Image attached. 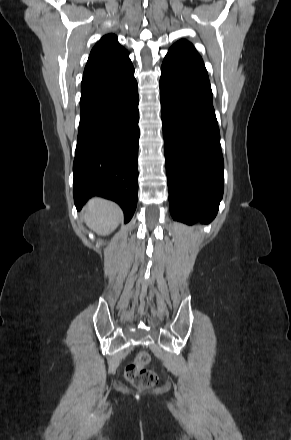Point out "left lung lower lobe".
<instances>
[{"mask_svg":"<svg viewBox=\"0 0 291 440\" xmlns=\"http://www.w3.org/2000/svg\"><path fill=\"white\" fill-rule=\"evenodd\" d=\"M161 117L174 220L211 222L223 195V156L202 60L167 54L160 77Z\"/></svg>","mask_w":291,"mask_h":440,"instance_id":"0a47b994","label":"left lung lower lobe"}]
</instances>
